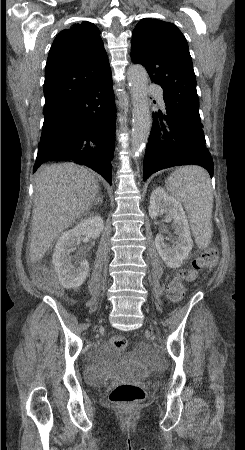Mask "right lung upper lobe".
Segmentation results:
<instances>
[{"label": "right lung upper lobe", "mask_w": 245, "mask_h": 450, "mask_svg": "<svg viewBox=\"0 0 245 450\" xmlns=\"http://www.w3.org/2000/svg\"><path fill=\"white\" fill-rule=\"evenodd\" d=\"M110 73L100 31L94 24L84 21L61 31L46 63L44 112L62 105Z\"/></svg>", "instance_id": "cb5924a9"}]
</instances>
